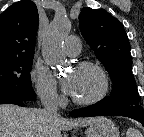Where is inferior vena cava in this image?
<instances>
[{
  "mask_svg": "<svg viewBox=\"0 0 144 137\" xmlns=\"http://www.w3.org/2000/svg\"><path fill=\"white\" fill-rule=\"evenodd\" d=\"M45 111L50 116H59L58 114V105L56 102H52L51 100L46 101L44 103Z\"/></svg>",
  "mask_w": 144,
  "mask_h": 137,
  "instance_id": "obj_1",
  "label": "inferior vena cava"
}]
</instances>
